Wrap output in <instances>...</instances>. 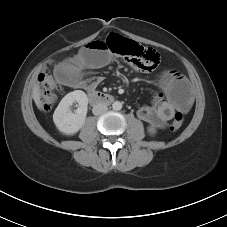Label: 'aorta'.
I'll return each mask as SVG.
<instances>
[{
    "label": "aorta",
    "instance_id": "obj_1",
    "mask_svg": "<svg viewBox=\"0 0 227 227\" xmlns=\"http://www.w3.org/2000/svg\"><path fill=\"white\" fill-rule=\"evenodd\" d=\"M112 108L114 109V110H121V108H122V103L121 102H119V101H115L113 104H112Z\"/></svg>",
    "mask_w": 227,
    "mask_h": 227
}]
</instances>
